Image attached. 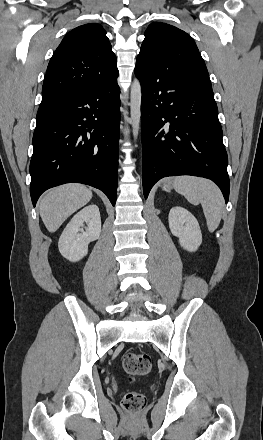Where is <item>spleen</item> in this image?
Instances as JSON below:
<instances>
[{"instance_id":"obj_1","label":"spleen","mask_w":263,"mask_h":440,"mask_svg":"<svg viewBox=\"0 0 263 440\" xmlns=\"http://www.w3.org/2000/svg\"><path fill=\"white\" fill-rule=\"evenodd\" d=\"M173 187L191 204L202 205L208 230L215 231L224 211V198L220 189L208 179L189 175L175 177Z\"/></svg>"}]
</instances>
